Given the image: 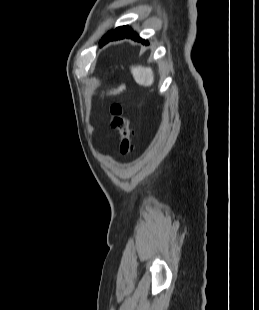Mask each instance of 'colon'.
Wrapping results in <instances>:
<instances>
[{"label": "colon", "mask_w": 259, "mask_h": 310, "mask_svg": "<svg viewBox=\"0 0 259 310\" xmlns=\"http://www.w3.org/2000/svg\"><path fill=\"white\" fill-rule=\"evenodd\" d=\"M111 114V127L118 131L119 138V151L123 156H128L133 150L132 136L133 132L130 129L128 119L124 116L122 107L119 104H112L110 106Z\"/></svg>", "instance_id": "1"}]
</instances>
